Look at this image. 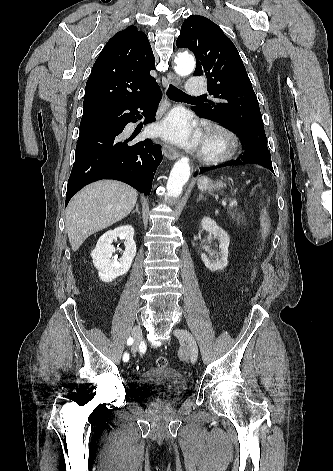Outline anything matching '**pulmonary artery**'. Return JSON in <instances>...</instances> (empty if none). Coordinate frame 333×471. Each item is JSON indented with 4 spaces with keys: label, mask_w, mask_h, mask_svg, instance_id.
<instances>
[{
    "label": "pulmonary artery",
    "mask_w": 333,
    "mask_h": 471,
    "mask_svg": "<svg viewBox=\"0 0 333 471\" xmlns=\"http://www.w3.org/2000/svg\"><path fill=\"white\" fill-rule=\"evenodd\" d=\"M206 87L204 81L199 77H191L187 86L189 95H201L205 92Z\"/></svg>",
    "instance_id": "e3ab8cb5"
}]
</instances>
